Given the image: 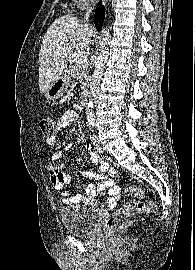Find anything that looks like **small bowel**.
<instances>
[{"instance_id":"c3829d8e","label":"small bowel","mask_w":195,"mask_h":270,"mask_svg":"<svg viewBox=\"0 0 195 270\" xmlns=\"http://www.w3.org/2000/svg\"><path fill=\"white\" fill-rule=\"evenodd\" d=\"M76 119L77 113L75 111H65L57 122L56 132L47 138V144L49 146H55L57 143V132L65 129L70 123L76 121ZM71 146L72 144H68L67 148H70ZM87 150L92 163L101 171V173L88 171L82 173V177L93 179L97 182L89 183L83 194L76 192H62V203H93L97 192L108 189L109 197L107 199V206L114 207L120 197V188L113 180V177L116 175V169L114 166L103 160L90 145H87ZM61 156L62 152L60 150L56 151L51 158V162L47 166L51 184L57 191H62L64 185L70 184L73 179L72 174L63 172L65 164L63 162H58Z\"/></svg>"}]
</instances>
